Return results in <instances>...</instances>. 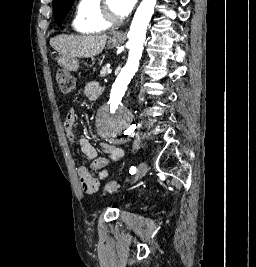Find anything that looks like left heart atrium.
I'll return each mask as SVG.
<instances>
[{"instance_id": "left-heart-atrium-1", "label": "left heart atrium", "mask_w": 256, "mask_h": 267, "mask_svg": "<svg viewBox=\"0 0 256 267\" xmlns=\"http://www.w3.org/2000/svg\"><path fill=\"white\" fill-rule=\"evenodd\" d=\"M136 0H115L118 20L115 23L116 29L122 23V21L131 13Z\"/></svg>"}]
</instances>
